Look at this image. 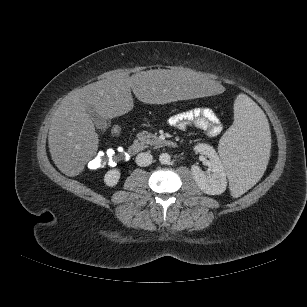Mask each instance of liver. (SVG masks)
I'll list each match as a JSON object with an SVG mask.
<instances>
[{
  "mask_svg": "<svg viewBox=\"0 0 307 307\" xmlns=\"http://www.w3.org/2000/svg\"><path fill=\"white\" fill-rule=\"evenodd\" d=\"M131 90L147 104H166L213 92L225 87L188 68L149 70L129 76L113 74L106 79L71 91L55 111L48 134L49 151L54 164L73 177L84 170L98 150V134L87 110L92 107L105 119H112L133 108Z\"/></svg>",
  "mask_w": 307,
  "mask_h": 307,
  "instance_id": "1",
  "label": "liver"
}]
</instances>
